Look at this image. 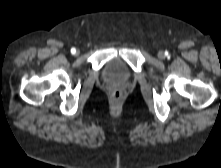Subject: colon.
Returning <instances> with one entry per match:
<instances>
[{"instance_id": "5ec220e1", "label": "colon", "mask_w": 221, "mask_h": 168, "mask_svg": "<svg viewBox=\"0 0 221 168\" xmlns=\"http://www.w3.org/2000/svg\"><path fill=\"white\" fill-rule=\"evenodd\" d=\"M112 97L115 101H120L121 98H122V94L119 92V91H115L113 94H112Z\"/></svg>"}]
</instances>
